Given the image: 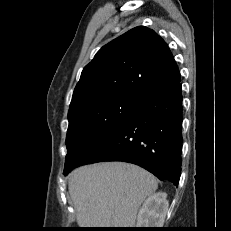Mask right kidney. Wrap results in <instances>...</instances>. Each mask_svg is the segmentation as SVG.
Here are the masks:
<instances>
[{
  "mask_svg": "<svg viewBox=\"0 0 231 231\" xmlns=\"http://www.w3.org/2000/svg\"><path fill=\"white\" fill-rule=\"evenodd\" d=\"M167 194L157 192L150 195L139 210L138 228H161L168 211Z\"/></svg>",
  "mask_w": 231,
  "mask_h": 231,
  "instance_id": "obj_1",
  "label": "right kidney"
}]
</instances>
